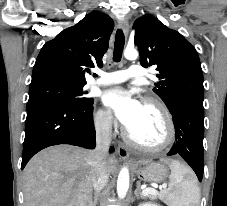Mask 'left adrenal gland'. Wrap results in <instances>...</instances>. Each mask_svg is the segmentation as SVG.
<instances>
[{"label": "left adrenal gland", "instance_id": "obj_1", "mask_svg": "<svg viewBox=\"0 0 227 206\" xmlns=\"http://www.w3.org/2000/svg\"><path fill=\"white\" fill-rule=\"evenodd\" d=\"M140 181H138L137 182V187H136V190L134 191V194H135V196L136 197H141V198H143V194H142V191H141V189H140Z\"/></svg>", "mask_w": 227, "mask_h": 206}]
</instances>
